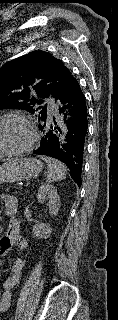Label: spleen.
I'll return each mask as SVG.
<instances>
[{
	"instance_id": "obj_1",
	"label": "spleen",
	"mask_w": 118,
	"mask_h": 320,
	"mask_svg": "<svg viewBox=\"0 0 118 320\" xmlns=\"http://www.w3.org/2000/svg\"><path fill=\"white\" fill-rule=\"evenodd\" d=\"M41 159L47 163L48 171L46 181L48 183L62 181L66 178L67 167L57 159L41 156Z\"/></svg>"
}]
</instances>
